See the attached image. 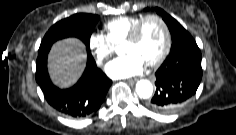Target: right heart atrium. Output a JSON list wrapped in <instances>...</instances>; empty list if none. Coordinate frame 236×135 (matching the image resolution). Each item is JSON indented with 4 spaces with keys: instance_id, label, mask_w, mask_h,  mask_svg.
<instances>
[{
    "instance_id": "d8ad5b80",
    "label": "right heart atrium",
    "mask_w": 236,
    "mask_h": 135,
    "mask_svg": "<svg viewBox=\"0 0 236 135\" xmlns=\"http://www.w3.org/2000/svg\"><path fill=\"white\" fill-rule=\"evenodd\" d=\"M88 46L98 65H103L115 52V45L102 33H92Z\"/></svg>"
}]
</instances>
